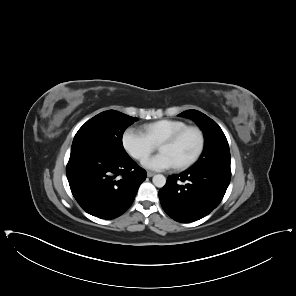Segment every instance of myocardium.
<instances>
[{
  "instance_id": "myocardium-1",
  "label": "myocardium",
  "mask_w": 296,
  "mask_h": 296,
  "mask_svg": "<svg viewBox=\"0 0 296 296\" xmlns=\"http://www.w3.org/2000/svg\"><path fill=\"white\" fill-rule=\"evenodd\" d=\"M190 132H194L197 134V137H198L197 146H196L195 150L193 151V153L189 157H187L186 159H184L182 161L175 163V165L177 167L187 166V165L193 163L200 156L201 152L203 151L204 142H205L203 132L197 127L189 126V127L185 128L184 130H182L181 132L173 135L161 146V151L165 152L168 148L176 145L180 140H182Z\"/></svg>"
}]
</instances>
